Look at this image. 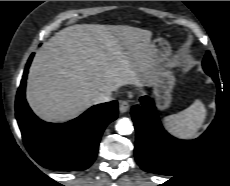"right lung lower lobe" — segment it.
Segmentation results:
<instances>
[{
  "mask_svg": "<svg viewBox=\"0 0 230 186\" xmlns=\"http://www.w3.org/2000/svg\"><path fill=\"white\" fill-rule=\"evenodd\" d=\"M30 56L16 96V119L26 149L41 166L57 171L87 169L95 160L105 127L117 118V101L98 104L64 124L46 123L34 115L25 99Z\"/></svg>",
  "mask_w": 230,
  "mask_h": 186,
  "instance_id": "98d812e1",
  "label": "right lung lower lobe"
}]
</instances>
